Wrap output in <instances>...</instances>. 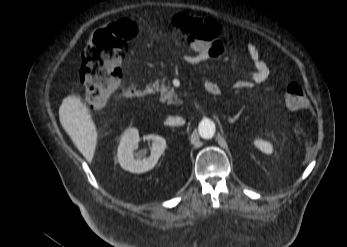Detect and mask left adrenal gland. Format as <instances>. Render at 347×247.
I'll use <instances>...</instances> for the list:
<instances>
[{"instance_id":"a2214340","label":"left adrenal gland","mask_w":347,"mask_h":247,"mask_svg":"<svg viewBox=\"0 0 347 247\" xmlns=\"http://www.w3.org/2000/svg\"><path fill=\"white\" fill-rule=\"evenodd\" d=\"M239 115H240V113H238L237 115H235L234 118L229 117V118H228V121H229L230 123L235 122V121L238 119Z\"/></svg>"}]
</instances>
